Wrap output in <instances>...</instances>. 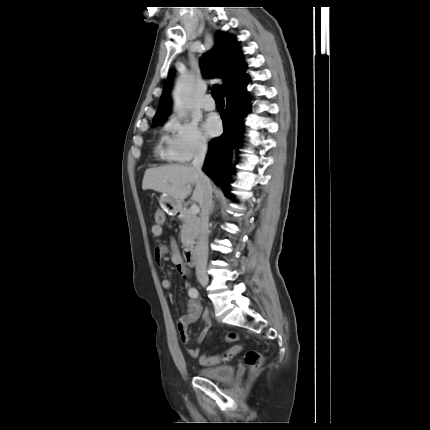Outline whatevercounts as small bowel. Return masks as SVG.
<instances>
[{
	"label": "small bowel",
	"instance_id": "c3829d8e",
	"mask_svg": "<svg viewBox=\"0 0 430 430\" xmlns=\"http://www.w3.org/2000/svg\"><path fill=\"white\" fill-rule=\"evenodd\" d=\"M152 235L154 237H160L162 235V227L160 225H153L151 228ZM170 252L171 261L175 264L177 271L180 275L188 280L191 277L190 269L184 264L181 253L179 252L176 242L171 240L170 246H166L164 244H159L155 248V260L158 264H160L164 258V256ZM161 286L164 289H170L172 286V282L169 278H163L161 280ZM169 298H172V295H169ZM202 305L199 301L191 298L187 302V313L181 316L177 321V329L180 335V338L184 344H188L190 342V336L188 334V327L190 324L196 322L201 314H202ZM211 327V322L209 320L208 314L205 312L203 314V328L200 331L197 337V343H202L206 338ZM240 349V346H238ZM200 354L199 348H191L188 350V355L190 358H197Z\"/></svg>",
	"mask_w": 430,
	"mask_h": 430
}]
</instances>
